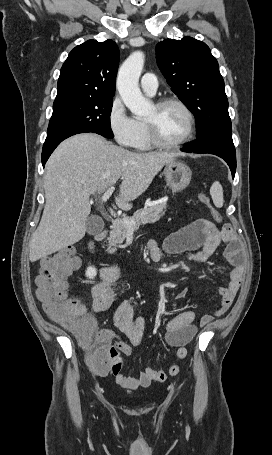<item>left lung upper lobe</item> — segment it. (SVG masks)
<instances>
[{
    "instance_id": "left-lung-upper-lobe-1",
    "label": "left lung upper lobe",
    "mask_w": 272,
    "mask_h": 455,
    "mask_svg": "<svg viewBox=\"0 0 272 455\" xmlns=\"http://www.w3.org/2000/svg\"><path fill=\"white\" fill-rule=\"evenodd\" d=\"M157 64L171 90L196 118L197 138L231 126L219 65L209 47L192 37L156 46Z\"/></svg>"
}]
</instances>
